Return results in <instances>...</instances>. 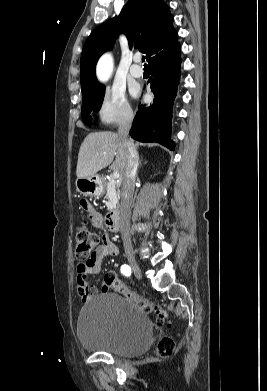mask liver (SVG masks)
<instances>
[{
    "mask_svg": "<svg viewBox=\"0 0 267 391\" xmlns=\"http://www.w3.org/2000/svg\"><path fill=\"white\" fill-rule=\"evenodd\" d=\"M134 145L137 147L138 144ZM126 162V148L118 134L114 132L90 133L80 146L76 175L77 178H86L111 164V168L123 176Z\"/></svg>",
    "mask_w": 267,
    "mask_h": 391,
    "instance_id": "6515ba94",
    "label": "liver"
}]
</instances>
